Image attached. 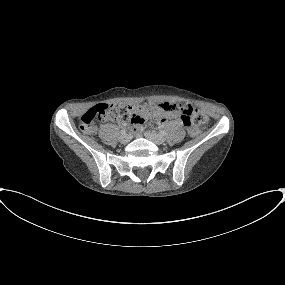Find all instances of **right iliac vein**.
<instances>
[{
    "label": "right iliac vein",
    "mask_w": 285,
    "mask_h": 285,
    "mask_svg": "<svg viewBox=\"0 0 285 285\" xmlns=\"http://www.w3.org/2000/svg\"><path fill=\"white\" fill-rule=\"evenodd\" d=\"M129 141H130V137L127 134L122 135L120 138L121 144H127Z\"/></svg>",
    "instance_id": "63e3f726"
}]
</instances>
